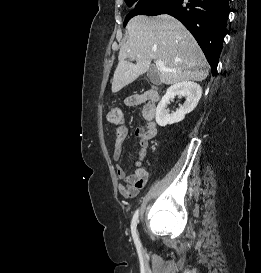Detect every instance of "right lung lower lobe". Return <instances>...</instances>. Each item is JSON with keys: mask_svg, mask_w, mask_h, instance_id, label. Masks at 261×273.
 Here are the masks:
<instances>
[{"mask_svg": "<svg viewBox=\"0 0 261 273\" xmlns=\"http://www.w3.org/2000/svg\"><path fill=\"white\" fill-rule=\"evenodd\" d=\"M229 0H169L143 15L169 14L194 36L215 75L229 15Z\"/></svg>", "mask_w": 261, "mask_h": 273, "instance_id": "right-lung-lower-lobe-1", "label": "right lung lower lobe"}]
</instances>
